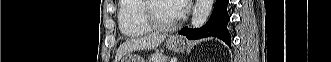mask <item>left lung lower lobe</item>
I'll list each match as a JSON object with an SVG mask.
<instances>
[{
  "instance_id": "obj_1",
  "label": "left lung lower lobe",
  "mask_w": 331,
  "mask_h": 62,
  "mask_svg": "<svg viewBox=\"0 0 331 62\" xmlns=\"http://www.w3.org/2000/svg\"><path fill=\"white\" fill-rule=\"evenodd\" d=\"M228 2L229 0H216L215 7L206 25L198 29L185 27L179 31V34L193 40L214 36L230 46L231 37L227 30V23L230 20L227 13Z\"/></svg>"
}]
</instances>
